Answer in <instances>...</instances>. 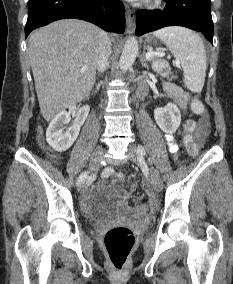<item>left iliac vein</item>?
<instances>
[{
    "instance_id": "1",
    "label": "left iliac vein",
    "mask_w": 233,
    "mask_h": 284,
    "mask_svg": "<svg viewBox=\"0 0 233 284\" xmlns=\"http://www.w3.org/2000/svg\"><path fill=\"white\" fill-rule=\"evenodd\" d=\"M128 155L132 161H135L140 165H146L143 153L138 147L130 145ZM150 183L155 191L159 192L162 189V180L158 172L153 167L150 168Z\"/></svg>"
}]
</instances>
